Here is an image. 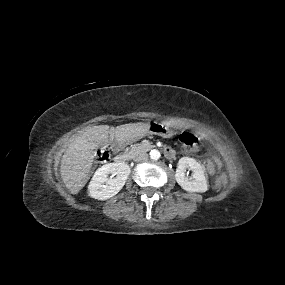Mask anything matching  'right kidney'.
<instances>
[{
	"label": "right kidney",
	"instance_id": "ca27d5eb",
	"mask_svg": "<svg viewBox=\"0 0 285 285\" xmlns=\"http://www.w3.org/2000/svg\"><path fill=\"white\" fill-rule=\"evenodd\" d=\"M130 172V167L123 162L103 165L96 170L88 185L89 195L98 200H107L115 196L125 185ZM109 174L116 177L108 178Z\"/></svg>",
	"mask_w": 285,
	"mask_h": 285
}]
</instances>
